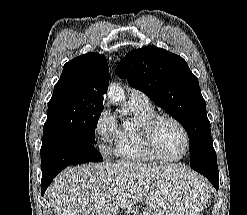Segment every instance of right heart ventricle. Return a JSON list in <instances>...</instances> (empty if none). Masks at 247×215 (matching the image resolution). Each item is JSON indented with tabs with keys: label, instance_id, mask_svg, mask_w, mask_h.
<instances>
[{
	"label": "right heart ventricle",
	"instance_id": "1",
	"mask_svg": "<svg viewBox=\"0 0 247 215\" xmlns=\"http://www.w3.org/2000/svg\"><path fill=\"white\" fill-rule=\"evenodd\" d=\"M129 109L137 124L134 127L123 126L119 129L115 155L122 161L133 163L156 160L147 150L141 133V125L155 115L152 106L141 107L129 103Z\"/></svg>",
	"mask_w": 247,
	"mask_h": 215
}]
</instances>
